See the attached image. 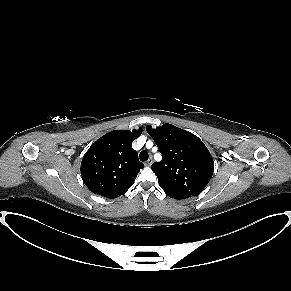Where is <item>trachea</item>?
I'll return each instance as SVG.
<instances>
[{"instance_id":"3493384b","label":"trachea","mask_w":291,"mask_h":291,"mask_svg":"<svg viewBox=\"0 0 291 291\" xmlns=\"http://www.w3.org/2000/svg\"><path fill=\"white\" fill-rule=\"evenodd\" d=\"M148 158H149L148 153L146 151H141V153L139 154V159L144 162L147 161Z\"/></svg>"}]
</instances>
